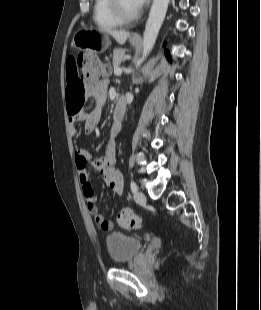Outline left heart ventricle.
<instances>
[{
  "mask_svg": "<svg viewBox=\"0 0 261 310\" xmlns=\"http://www.w3.org/2000/svg\"><path fill=\"white\" fill-rule=\"evenodd\" d=\"M122 9L127 14H133L138 11L136 6L133 3V0H120Z\"/></svg>",
  "mask_w": 261,
  "mask_h": 310,
  "instance_id": "1",
  "label": "left heart ventricle"
}]
</instances>
